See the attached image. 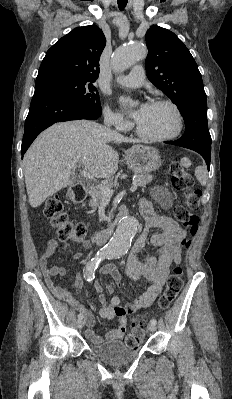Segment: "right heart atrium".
<instances>
[{
    "mask_svg": "<svg viewBox=\"0 0 232 399\" xmlns=\"http://www.w3.org/2000/svg\"><path fill=\"white\" fill-rule=\"evenodd\" d=\"M104 118L106 122H115V127L117 128L122 129L128 127V123L124 121L123 117L119 113L113 112L108 108L104 109Z\"/></svg>",
    "mask_w": 232,
    "mask_h": 399,
    "instance_id": "d8ad5b80",
    "label": "right heart atrium"
}]
</instances>
